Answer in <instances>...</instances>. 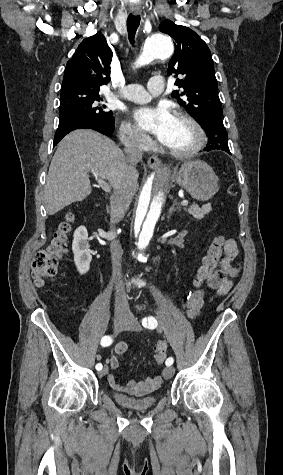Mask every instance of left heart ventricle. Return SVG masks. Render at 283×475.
<instances>
[{"label": "left heart ventricle", "instance_id": "obj_1", "mask_svg": "<svg viewBox=\"0 0 283 475\" xmlns=\"http://www.w3.org/2000/svg\"><path fill=\"white\" fill-rule=\"evenodd\" d=\"M170 137L163 141L167 148L173 151H184L192 146L196 139L194 128L185 120L175 117L173 125L169 131Z\"/></svg>", "mask_w": 283, "mask_h": 475}]
</instances>
